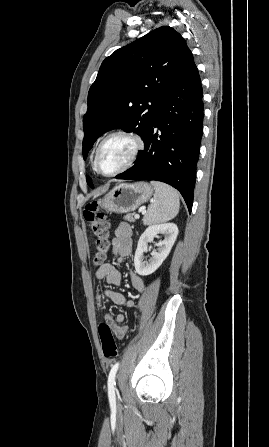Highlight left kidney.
Listing matches in <instances>:
<instances>
[{
    "label": "left kidney",
    "instance_id": "obj_1",
    "mask_svg": "<svg viewBox=\"0 0 269 447\" xmlns=\"http://www.w3.org/2000/svg\"><path fill=\"white\" fill-rule=\"evenodd\" d=\"M157 233H164V239L156 243V245H159L158 251H152L150 261H143V253L144 251H148L147 243L148 241H153ZM177 235L178 227L176 224L149 225L144 233L140 235L135 251L134 263L137 273L139 275H150V273H153L161 265L162 261L166 259Z\"/></svg>",
    "mask_w": 269,
    "mask_h": 447
}]
</instances>
